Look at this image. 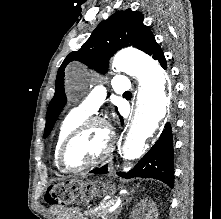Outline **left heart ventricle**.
I'll use <instances>...</instances> for the list:
<instances>
[{
  "label": "left heart ventricle",
  "mask_w": 221,
  "mask_h": 219,
  "mask_svg": "<svg viewBox=\"0 0 221 219\" xmlns=\"http://www.w3.org/2000/svg\"><path fill=\"white\" fill-rule=\"evenodd\" d=\"M105 144V131L100 126H91L69 146L66 152V162L71 167L85 165L102 153Z\"/></svg>",
  "instance_id": "1"
}]
</instances>
